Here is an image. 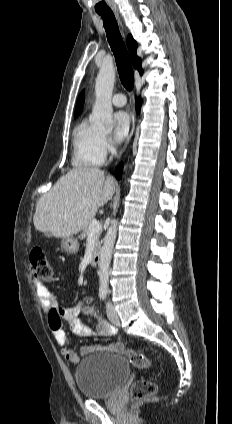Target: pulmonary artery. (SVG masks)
<instances>
[{
  "label": "pulmonary artery",
  "instance_id": "obj_1",
  "mask_svg": "<svg viewBox=\"0 0 232 424\" xmlns=\"http://www.w3.org/2000/svg\"><path fill=\"white\" fill-rule=\"evenodd\" d=\"M112 103L117 107H123L127 103L126 96L123 93H117L113 96Z\"/></svg>",
  "mask_w": 232,
  "mask_h": 424
}]
</instances>
